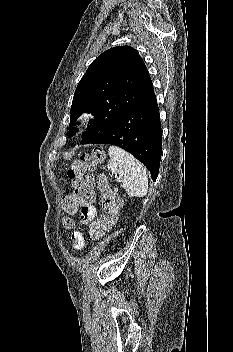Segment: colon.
Masks as SVG:
<instances>
[{
	"label": "colon",
	"mask_w": 233,
	"mask_h": 352,
	"mask_svg": "<svg viewBox=\"0 0 233 352\" xmlns=\"http://www.w3.org/2000/svg\"><path fill=\"white\" fill-rule=\"evenodd\" d=\"M104 152L96 147L88 153H83L68 169L67 175L72 181L74 194L65 196L61 206L64 212L63 224L72 226L73 216L77 208L86 207L94 202V179L91 171L103 160ZM100 201L104 214L98 217L89 227V238L97 240L109 232L117 222L121 200L117 193L111 189L106 177L101 175L98 181Z\"/></svg>",
	"instance_id": "5ec220e1"
}]
</instances>
